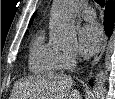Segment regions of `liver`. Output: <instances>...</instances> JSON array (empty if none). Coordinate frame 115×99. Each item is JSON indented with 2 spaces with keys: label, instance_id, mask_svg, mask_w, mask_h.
Segmentation results:
<instances>
[{
  "label": "liver",
  "instance_id": "1",
  "mask_svg": "<svg viewBox=\"0 0 115 99\" xmlns=\"http://www.w3.org/2000/svg\"><path fill=\"white\" fill-rule=\"evenodd\" d=\"M72 87L70 76H30L15 83L13 99H81L80 92Z\"/></svg>",
  "mask_w": 115,
  "mask_h": 99
}]
</instances>
